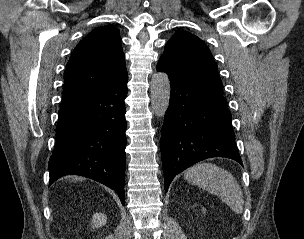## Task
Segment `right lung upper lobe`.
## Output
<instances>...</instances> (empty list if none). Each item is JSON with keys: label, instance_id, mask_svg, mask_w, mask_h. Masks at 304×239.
Here are the masks:
<instances>
[{"label": "right lung upper lobe", "instance_id": "right-lung-upper-lobe-1", "mask_svg": "<svg viewBox=\"0 0 304 239\" xmlns=\"http://www.w3.org/2000/svg\"><path fill=\"white\" fill-rule=\"evenodd\" d=\"M119 30L91 31L75 47L66 67L61 107L89 97L127 74Z\"/></svg>", "mask_w": 304, "mask_h": 239}]
</instances>
